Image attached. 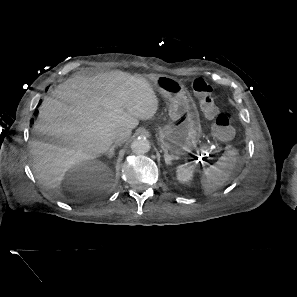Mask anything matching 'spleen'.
<instances>
[{
	"label": "spleen",
	"instance_id": "obj_1",
	"mask_svg": "<svg viewBox=\"0 0 297 297\" xmlns=\"http://www.w3.org/2000/svg\"><path fill=\"white\" fill-rule=\"evenodd\" d=\"M236 150H229L219 158L215 165L203 169L201 185L205 195L222 187L230 178L236 163Z\"/></svg>",
	"mask_w": 297,
	"mask_h": 297
}]
</instances>
